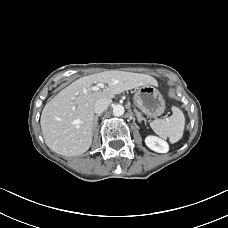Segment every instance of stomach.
Here are the masks:
<instances>
[{
	"label": "stomach",
	"instance_id": "0dacf381",
	"mask_svg": "<svg viewBox=\"0 0 228 228\" xmlns=\"http://www.w3.org/2000/svg\"><path fill=\"white\" fill-rule=\"evenodd\" d=\"M133 99L139 110L147 116L157 117L165 110L164 98L154 85L139 87Z\"/></svg>",
	"mask_w": 228,
	"mask_h": 228
}]
</instances>
